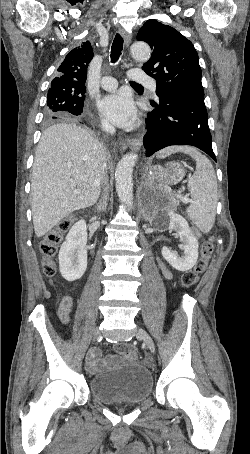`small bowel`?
<instances>
[{"label": "small bowel", "mask_w": 250, "mask_h": 454, "mask_svg": "<svg viewBox=\"0 0 250 454\" xmlns=\"http://www.w3.org/2000/svg\"><path fill=\"white\" fill-rule=\"evenodd\" d=\"M163 274L166 278L170 277V273L165 269H163ZM72 305V298L70 296H64L58 308V318L61 323H70V311L72 309ZM112 362L113 359L111 357L102 359L101 352L98 349H93L87 355L86 368L89 372L94 373Z\"/></svg>", "instance_id": "obj_1"}]
</instances>
